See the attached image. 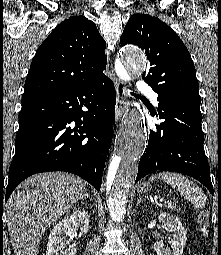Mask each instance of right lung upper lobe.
I'll return each mask as SVG.
<instances>
[{"mask_svg":"<svg viewBox=\"0 0 221 255\" xmlns=\"http://www.w3.org/2000/svg\"><path fill=\"white\" fill-rule=\"evenodd\" d=\"M105 45L94 22L84 16L60 23L33 58L23 100L73 89L103 76Z\"/></svg>","mask_w":221,"mask_h":255,"instance_id":"right-lung-upper-lobe-1","label":"right lung upper lobe"}]
</instances>
